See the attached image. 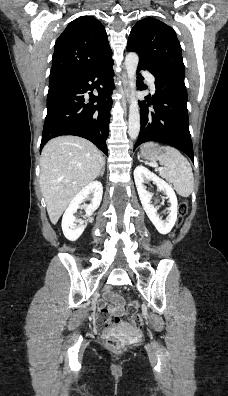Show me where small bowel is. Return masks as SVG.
Here are the masks:
<instances>
[{"label": "small bowel", "mask_w": 228, "mask_h": 396, "mask_svg": "<svg viewBox=\"0 0 228 396\" xmlns=\"http://www.w3.org/2000/svg\"><path fill=\"white\" fill-rule=\"evenodd\" d=\"M98 306L102 316L107 314L118 316L124 313L123 300L110 292L106 294L104 300L99 301ZM98 321L103 322V317L100 316Z\"/></svg>", "instance_id": "1"}]
</instances>
